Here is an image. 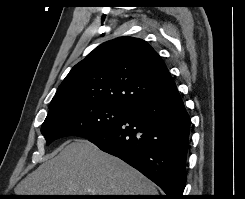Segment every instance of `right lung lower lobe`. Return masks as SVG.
Masks as SVG:
<instances>
[{
  "label": "right lung lower lobe",
  "mask_w": 245,
  "mask_h": 199,
  "mask_svg": "<svg viewBox=\"0 0 245 199\" xmlns=\"http://www.w3.org/2000/svg\"><path fill=\"white\" fill-rule=\"evenodd\" d=\"M190 117L177 88L134 106L114 125L87 138L156 183L165 199H183Z\"/></svg>",
  "instance_id": "1"
}]
</instances>
